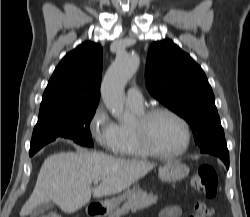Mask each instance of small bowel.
I'll return each instance as SVG.
<instances>
[{"label":"small bowel","instance_id":"obj_1","mask_svg":"<svg viewBox=\"0 0 250 217\" xmlns=\"http://www.w3.org/2000/svg\"><path fill=\"white\" fill-rule=\"evenodd\" d=\"M181 208L177 205H171L164 207L160 213L159 217H180L181 216Z\"/></svg>","mask_w":250,"mask_h":217}]
</instances>
